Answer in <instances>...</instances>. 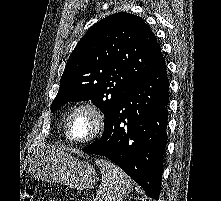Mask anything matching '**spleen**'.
Wrapping results in <instances>:
<instances>
[{
    "label": "spleen",
    "instance_id": "3e777b00",
    "mask_svg": "<svg viewBox=\"0 0 221 201\" xmlns=\"http://www.w3.org/2000/svg\"><path fill=\"white\" fill-rule=\"evenodd\" d=\"M95 164L102 174V183L99 190L100 201H123L133 189L131 179L127 174L109 160L98 158Z\"/></svg>",
    "mask_w": 221,
    "mask_h": 201
}]
</instances>
